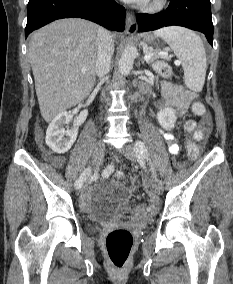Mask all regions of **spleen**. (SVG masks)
Wrapping results in <instances>:
<instances>
[{
	"label": "spleen",
	"mask_w": 233,
	"mask_h": 284,
	"mask_svg": "<svg viewBox=\"0 0 233 284\" xmlns=\"http://www.w3.org/2000/svg\"><path fill=\"white\" fill-rule=\"evenodd\" d=\"M154 34L162 38L179 58L187 88L201 92L207 70L206 53L201 38L195 32L179 26L165 27Z\"/></svg>",
	"instance_id": "obj_1"
}]
</instances>
